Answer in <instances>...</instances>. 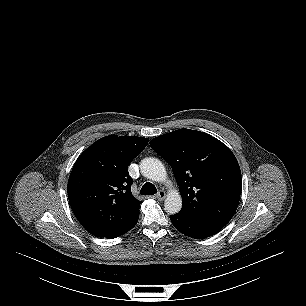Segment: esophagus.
<instances>
[{"mask_svg":"<svg viewBox=\"0 0 306 306\" xmlns=\"http://www.w3.org/2000/svg\"><path fill=\"white\" fill-rule=\"evenodd\" d=\"M165 197H166V192L164 190H160L156 195V198L160 201H163Z\"/></svg>","mask_w":306,"mask_h":306,"instance_id":"1","label":"esophagus"}]
</instances>
